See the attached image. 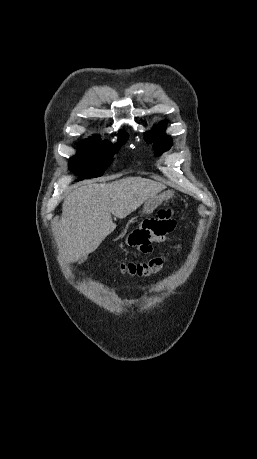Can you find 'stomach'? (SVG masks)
Listing matches in <instances>:
<instances>
[{
    "label": "stomach",
    "mask_w": 257,
    "mask_h": 459,
    "mask_svg": "<svg viewBox=\"0 0 257 459\" xmlns=\"http://www.w3.org/2000/svg\"><path fill=\"white\" fill-rule=\"evenodd\" d=\"M172 194L170 192H164L160 195H156L148 199L143 206V213L150 214L156 209L162 202L167 201Z\"/></svg>",
    "instance_id": "stomach-1"
}]
</instances>
